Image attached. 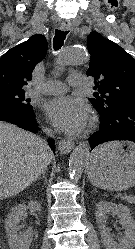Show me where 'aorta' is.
<instances>
[{
	"label": "aorta",
	"mask_w": 135,
	"mask_h": 249,
	"mask_svg": "<svg viewBox=\"0 0 135 249\" xmlns=\"http://www.w3.org/2000/svg\"><path fill=\"white\" fill-rule=\"evenodd\" d=\"M87 52L81 46H69L62 50L56 61V68L60 69L68 65H79L86 61ZM90 147L87 143H80L71 153L69 159V174L77 180L80 178L88 160Z\"/></svg>",
	"instance_id": "aorta-1"
}]
</instances>
